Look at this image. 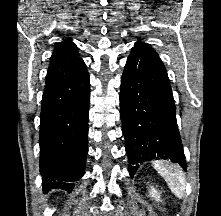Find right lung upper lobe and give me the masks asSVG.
Masks as SVG:
<instances>
[{"mask_svg": "<svg viewBox=\"0 0 221 216\" xmlns=\"http://www.w3.org/2000/svg\"><path fill=\"white\" fill-rule=\"evenodd\" d=\"M86 70L77 46L69 38L58 43L50 58L45 90L54 84L76 76Z\"/></svg>", "mask_w": 221, "mask_h": 216, "instance_id": "cb5924a9", "label": "right lung upper lobe"}]
</instances>
